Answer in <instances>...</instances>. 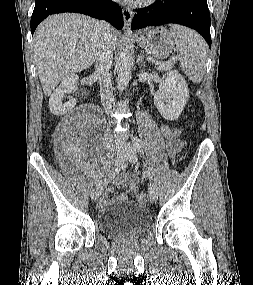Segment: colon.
<instances>
[{
    "instance_id": "1",
    "label": "colon",
    "mask_w": 253,
    "mask_h": 285,
    "mask_svg": "<svg viewBox=\"0 0 253 285\" xmlns=\"http://www.w3.org/2000/svg\"><path fill=\"white\" fill-rule=\"evenodd\" d=\"M137 201L140 204H146L148 202V197H147V195L145 193H140L137 196Z\"/></svg>"
}]
</instances>
